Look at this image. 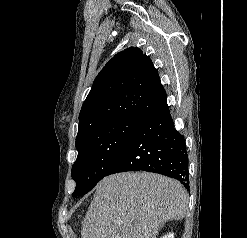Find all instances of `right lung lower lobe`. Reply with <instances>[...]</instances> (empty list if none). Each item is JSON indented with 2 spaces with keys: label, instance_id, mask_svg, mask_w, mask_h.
<instances>
[{
  "label": "right lung lower lobe",
  "instance_id": "98d812e1",
  "mask_svg": "<svg viewBox=\"0 0 247 238\" xmlns=\"http://www.w3.org/2000/svg\"><path fill=\"white\" fill-rule=\"evenodd\" d=\"M140 170L169 176L189 187L185 141L174 127L168 106L145 119L105 176Z\"/></svg>",
  "mask_w": 247,
  "mask_h": 238
}]
</instances>
